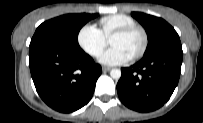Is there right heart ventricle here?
<instances>
[{
	"label": "right heart ventricle",
	"instance_id": "obj_1",
	"mask_svg": "<svg viewBox=\"0 0 203 123\" xmlns=\"http://www.w3.org/2000/svg\"><path fill=\"white\" fill-rule=\"evenodd\" d=\"M132 25H136L135 20L124 14H113L103 17L100 20V30L107 39H109L116 30Z\"/></svg>",
	"mask_w": 203,
	"mask_h": 123
}]
</instances>
